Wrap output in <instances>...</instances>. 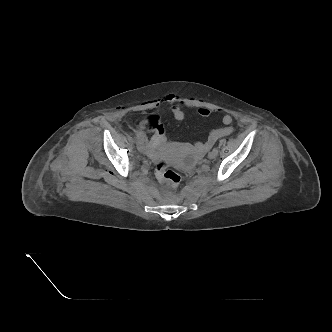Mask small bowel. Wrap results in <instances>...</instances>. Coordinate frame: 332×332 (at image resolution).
Segmentation results:
<instances>
[{
    "label": "small bowel",
    "instance_id": "small-bowel-1",
    "mask_svg": "<svg viewBox=\"0 0 332 332\" xmlns=\"http://www.w3.org/2000/svg\"><path fill=\"white\" fill-rule=\"evenodd\" d=\"M162 102H166L171 105V111L173 113V116L176 120L182 121L185 119L186 114L185 111L183 110V100L174 95V94H169L167 95ZM160 103V102H156ZM198 113L201 117H208L210 115V110L207 108H200L198 110ZM233 121V118L230 114H225L222 117V122L224 124L223 128L220 129H214L209 132V135L206 139L205 142H198L195 144V149L196 151L201 154L205 151H207L209 148H211L218 139L230 135L234 128L231 126V123ZM147 121H143L141 128L143 129L146 125ZM163 144H160L156 138L153 136L152 139L147 143V145L144 147V152L149 154V155H154L155 150L160 147Z\"/></svg>",
    "mask_w": 332,
    "mask_h": 332
}]
</instances>
